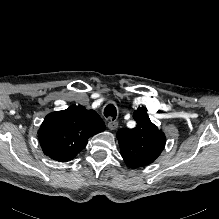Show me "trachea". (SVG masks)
Listing matches in <instances>:
<instances>
[{
    "label": "trachea",
    "instance_id": "obj_1",
    "mask_svg": "<svg viewBox=\"0 0 219 219\" xmlns=\"http://www.w3.org/2000/svg\"><path fill=\"white\" fill-rule=\"evenodd\" d=\"M105 117H111L112 120H115L117 111L116 107L113 104H108L104 109Z\"/></svg>",
    "mask_w": 219,
    "mask_h": 219
}]
</instances>
